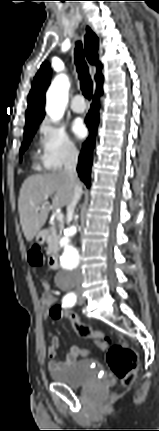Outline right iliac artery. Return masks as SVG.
<instances>
[{
	"label": "right iliac artery",
	"mask_w": 159,
	"mask_h": 431,
	"mask_svg": "<svg viewBox=\"0 0 159 431\" xmlns=\"http://www.w3.org/2000/svg\"><path fill=\"white\" fill-rule=\"evenodd\" d=\"M76 301H77V296L73 292H70L67 295H65L64 298H63V300H62L63 306H66V307H72V306H74V304L76 303Z\"/></svg>",
	"instance_id": "82829eb1"
}]
</instances>
